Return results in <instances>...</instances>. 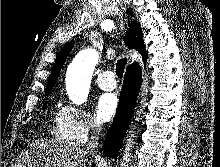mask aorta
Returning <instances> with one entry per match:
<instances>
[{
	"instance_id": "1",
	"label": "aorta",
	"mask_w": 220,
	"mask_h": 167,
	"mask_svg": "<svg viewBox=\"0 0 220 167\" xmlns=\"http://www.w3.org/2000/svg\"><path fill=\"white\" fill-rule=\"evenodd\" d=\"M98 59V53L88 49L80 52L69 65L66 74V90L73 103L80 105L87 100L92 74ZM128 150L126 148L124 160H127Z\"/></svg>"
}]
</instances>
